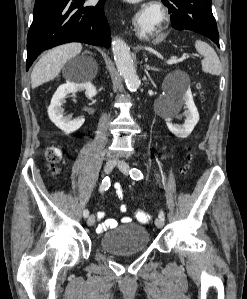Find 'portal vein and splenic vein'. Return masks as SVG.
Returning <instances> with one entry per match:
<instances>
[{
    "instance_id": "18ae733b",
    "label": "portal vein and splenic vein",
    "mask_w": 247,
    "mask_h": 299,
    "mask_svg": "<svg viewBox=\"0 0 247 299\" xmlns=\"http://www.w3.org/2000/svg\"><path fill=\"white\" fill-rule=\"evenodd\" d=\"M178 62H180V59H177V58H171V59L166 61V63L169 64V65H172V64H175V63H178Z\"/></svg>"
}]
</instances>
